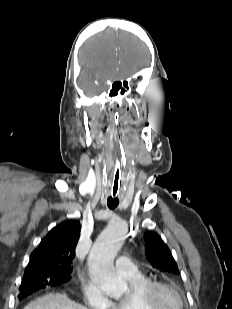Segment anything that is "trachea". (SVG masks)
<instances>
[{
	"mask_svg": "<svg viewBox=\"0 0 232 309\" xmlns=\"http://www.w3.org/2000/svg\"><path fill=\"white\" fill-rule=\"evenodd\" d=\"M123 176L122 161L119 156L115 158L113 177L111 182L110 196L107 200V205L110 209H115L119 204V193L121 190V182Z\"/></svg>",
	"mask_w": 232,
	"mask_h": 309,
	"instance_id": "obj_1",
	"label": "trachea"
}]
</instances>
